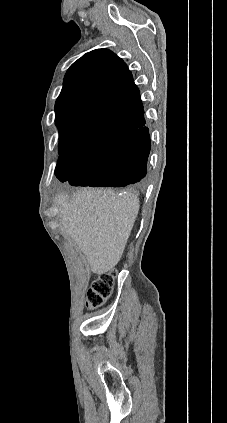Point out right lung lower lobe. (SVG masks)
<instances>
[{"label":"right lung lower lobe","instance_id":"right-lung-lower-lobe-1","mask_svg":"<svg viewBox=\"0 0 227 423\" xmlns=\"http://www.w3.org/2000/svg\"><path fill=\"white\" fill-rule=\"evenodd\" d=\"M109 121L122 120L137 131L127 139L104 146L89 155L69 176V165L58 161L55 175L72 186L125 187L140 182L147 173L151 148L149 130L143 127V106L140 96L124 104L101 111Z\"/></svg>","mask_w":227,"mask_h":423}]
</instances>
